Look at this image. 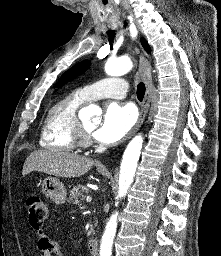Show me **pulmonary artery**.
Listing matches in <instances>:
<instances>
[{
	"label": "pulmonary artery",
	"mask_w": 221,
	"mask_h": 256,
	"mask_svg": "<svg viewBox=\"0 0 221 256\" xmlns=\"http://www.w3.org/2000/svg\"><path fill=\"white\" fill-rule=\"evenodd\" d=\"M127 82L118 77L105 78L83 87L80 92L88 101L101 98L122 99L126 96Z\"/></svg>",
	"instance_id": "e3ab8cb5"
}]
</instances>
